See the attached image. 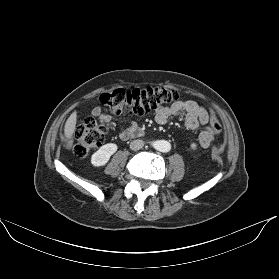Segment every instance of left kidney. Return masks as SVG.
<instances>
[{
  "instance_id": "left-kidney-1",
  "label": "left kidney",
  "mask_w": 279,
  "mask_h": 279,
  "mask_svg": "<svg viewBox=\"0 0 279 279\" xmlns=\"http://www.w3.org/2000/svg\"><path fill=\"white\" fill-rule=\"evenodd\" d=\"M191 148H192L193 150H196V149H197V145H196L195 143H191Z\"/></svg>"
}]
</instances>
